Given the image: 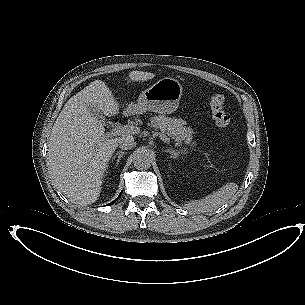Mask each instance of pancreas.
I'll list each match as a JSON object with an SVG mask.
<instances>
[{"instance_id":"pancreas-1","label":"pancreas","mask_w":305,"mask_h":305,"mask_svg":"<svg viewBox=\"0 0 305 305\" xmlns=\"http://www.w3.org/2000/svg\"><path fill=\"white\" fill-rule=\"evenodd\" d=\"M154 125L163 133H166L172 139H174L178 145L182 142L186 144H192V129L190 127H185L178 121L171 118H158L154 120Z\"/></svg>"}]
</instances>
